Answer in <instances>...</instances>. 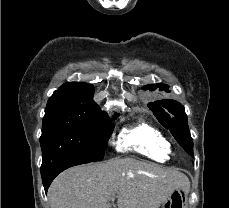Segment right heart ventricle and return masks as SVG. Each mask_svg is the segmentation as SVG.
Segmentation results:
<instances>
[{
    "label": "right heart ventricle",
    "mask_w": 229,
    "mask_h": 208,
    "mask_svg": "<svg viewBox=\"0 0 229 208\" xmlns=\"http://www.w3.org/2000/svg\"><path fill=\"white\" fill-rule=\"evenodd\" d=\"M116 148L156 163H166L172 156L169 139L159 128L146 121H139L134 126L123 129Z\"/></svg>",
    "instance_id": "e07e8e85"
}]
</instances>
